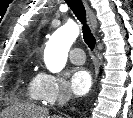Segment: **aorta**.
Wrapping results in <instances>:
<instances>
[{
    "label": "aorta",
    "mask_w": 133,
    "mask_h": 118,
    "mask_svg": "<svg viewBox=\"0 0 133 118\" xmlns=\"http://www.w3.org/2000/svg\"><path fill=\"white\" fill-rule=\"evenodd\" d=\"M79 32L76 23L68 22L57 29L50 38L44 52V61L52 73H59L65 67L68 52Z\"/></svg>",
    "instance_id": "762f6f07"
}]
</instances>
